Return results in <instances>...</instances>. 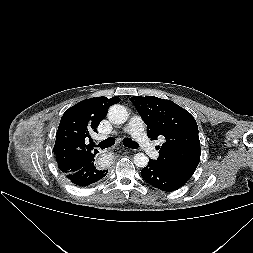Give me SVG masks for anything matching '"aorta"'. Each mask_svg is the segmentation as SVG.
Returning a JSON list of instances; mask_svg holds the SVG:
<instances>
[{
    "mask_svg": "<svg viewBox=\"0 0 253 253\" xmlns=\"http://www.w3.org/2000/svg\"><path fill=\"white\" fill-rule=\"evenodd\" d=\"M127 109L119 104L112 105L108 110V119L114 124H123L128 120ZM148 157L144 153H137L134 156V164L137 167L144 168L148 164Z\"/></svg>",
    "mask_w": 253,
    "mask_h": 253,
    "instance_id": "1",
    "label": "aorta"
}]
</instances>
